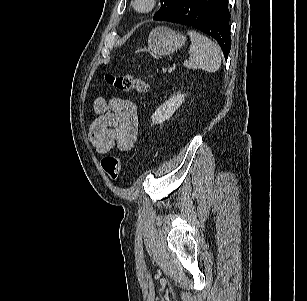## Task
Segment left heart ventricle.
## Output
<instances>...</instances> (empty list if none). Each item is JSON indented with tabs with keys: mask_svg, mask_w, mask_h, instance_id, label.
Returning a JSON list of instances; mask_svg holds the SVG:
<instances>
[{
	"mask_svg": "<svg viewBox=\"0 0 307 301\" xmlns=\"http://www.w3.org/2000/svg\"><path fill=\"white\" fill-rule=\"evenodd\" d=\"M145 4H146V3H145V0H142V2H140L139 5H140V6H145Z\"/></svg>",
	"mask_w": 307,
	"mask_h": 301,
	"instance_id": "obj_1",
	"label": "left heart ventricle"
}]
</instances>
